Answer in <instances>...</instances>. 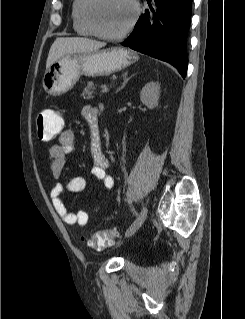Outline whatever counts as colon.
<instances>
[{"instance_id":"obj_1","label":"colon","mask_w":245,"mask_h":319,"mask_svg":"<svg viewBox=\"0 0 245 319\" xmlns=\"http://www.w3.org/2000/svg\"><path fill=\"white\" fill-rule=\"evenodd\" d=\"M63 127V117L57 111H43L37 117V133L42 141L55 140L63 131ZM118 237L114 230L97 231L89 234L85 241L92 248L104 249L113 245Z\"/></svg>"}]
</instances>
